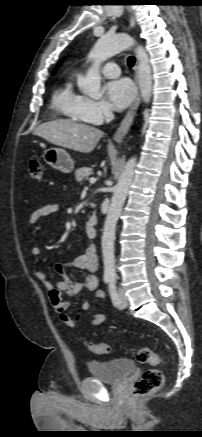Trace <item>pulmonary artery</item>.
I'll return each mask as SVG.
<instances>
[{
    "instance_id": "e3ab8cb5",
    "label": "pulmonary artery",
    "mask_w": 202,
    "mask_h": 437,
    "mask_svg": "<svg viewBox=\"0 0 202 437\" xmlns=\"http://www.w3.org/2000/svg\"><path fill=\"white\" fill-rule=\"evenodd\" d=\"M102 73L109 78H115L120 75V68L113 62H108L102 67Z\"/></svg>"
}]
</instances>
